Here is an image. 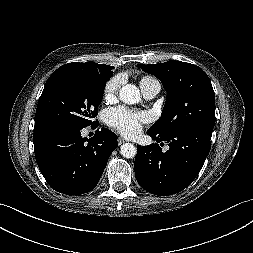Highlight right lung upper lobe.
Wrapping results in <instances>:
<instances>
[{"label": "right lung upper lobe", "instance_id": "right-lung-upper-lobe-1", "mask_svg": "<svg viewBox=\"0 0 253 253\" xmlns=\"http://www.w3.org/2000/svg\"><path fill=\"white\" fill-rule=\"evenodd\" d=\"M65 65H75V66L93 68V69H96L100 72L108 73L111 75L113 74V72H112L113 67L108 66V65H104V64L74 62V63L65 64Z\"/></svg>", "mask_w": 253, "mask_h": 253}]
</instances>
